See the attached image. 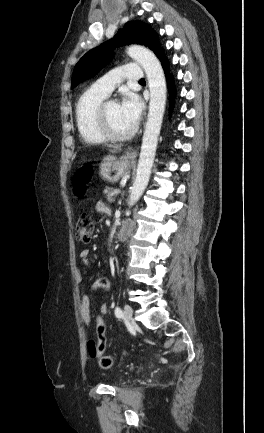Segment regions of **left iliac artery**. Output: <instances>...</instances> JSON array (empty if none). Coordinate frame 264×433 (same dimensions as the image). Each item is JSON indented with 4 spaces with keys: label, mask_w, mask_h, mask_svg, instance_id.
I'll list each match as a JSON object with an SVG mask.
<instances>
[{
    "label": "left iliac artery",
    "mask_w": 264,
    "mask_h": 433,
    "mask_svg": "<svg viewBox=\"0 0 264 433\" xmlns=\"http://www.w3.org/2000/svg\"><path fill=\"white\" fill-rule=\"evenodd\" d=\"M115 315L117 318H121L123 316L122 310L119 307H116Z\"/></svg>",
    "instance_id": "44dca946"
}]
</instances>
